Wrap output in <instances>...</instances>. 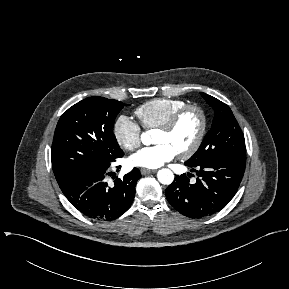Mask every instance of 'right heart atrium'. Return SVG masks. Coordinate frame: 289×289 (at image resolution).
Instances as JSON below:
<instances>
[{"instance_id":"1","label":"right heart atrium","mask_w":289,"mask_h":289,"mask_svg":"<svg viewBox=\"0 0 289 289\" xmlns=\"http://www.w3.org/2000/svg\"><path fill=\"white\" fill-rule=\"evenodd\" d=\"M113 135L120 147L133 151L141 143V129L139 125L126 115H120L114 122Z\"/></svg>"}]
</instances>
